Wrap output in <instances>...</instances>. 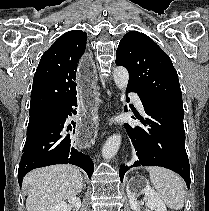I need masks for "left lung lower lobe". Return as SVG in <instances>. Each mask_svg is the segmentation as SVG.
<instances>
[{
  "label": "left lung lower lobe",
  "instance_id": "left-lung-lower-lobe-1",
  "mask_svg": "<svg viewBox=\"0 0 209 211\" xmlns=\"http://www.w3.org/2000/svg\"><path fill=\"white\" fill-rule=\"evenodd\" d=\"M127 91L138 93L147 117L138 118L147 128L131 127L126 131L137 150L138 160L131 167L161 166L182 176L190 187V166L185 150V130L183 125V104L155 101L144 97L134 88ZM131 167L122 165L119 169L121 181Z\"/></svg>",
  "mask_w": 209,
  "mask_h": 211
}]
</instances>
